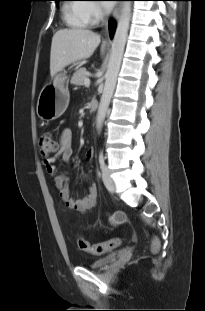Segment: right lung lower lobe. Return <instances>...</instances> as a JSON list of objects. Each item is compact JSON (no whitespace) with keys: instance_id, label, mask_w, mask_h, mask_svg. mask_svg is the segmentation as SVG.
Wrapping results in <instances>:
<instances>
[{"instance_id":"98d812e1","label":"right lung lower lobe","mask_w":205,"mask_h":311,"mask_svg":"<svg viewBox=\"0 0 205 311\" xmlns=\"http://www.w3.org/2000/svg\"><path fill=\"white\" fill-rule=\"evenodd\" d=\"M114 24L112 22L109 23L110 29H113Z\"/></svg>"}]
</instances>
